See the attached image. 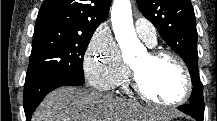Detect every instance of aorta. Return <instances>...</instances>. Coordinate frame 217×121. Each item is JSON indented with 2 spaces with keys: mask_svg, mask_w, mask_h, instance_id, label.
I'll return each instance as SVG.
<instances>
[{
  "mask_svg": "<svg viewBox=\"0 0 217 121\" xmlns=\"http://www.w3.org/2000/svg\"><path fill=\"white\" fill-rule=\"evenodd\" d=\"M111 21L123 59L129 61L142 49L133 26L130 0H114Z\"/></svg>",
  "mask_w": 217,
  "mask_h": 121,
  "instance_id": "obj_1",
  "label": "aorta"
}]
</instances>
